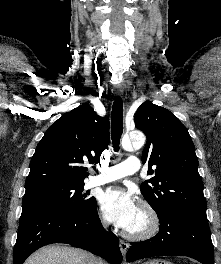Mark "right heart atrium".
<instances>
[{
    "label": "right heart atrium",
    "instance_id": "1",
    "mask_svg": "<svg viewBox=\"0 0 221 264\" xmlns=\"http://www.w3.org/2000/svg\"><path fill=\"white\" fill-rule=\"evenodd\" d=\"M101 224H102L103 226H105V225H106V222H105V220H104V219H101Z\"/></svg>",
    "mask_w": 221,
    "mask_h": 264
}]
</instances>
